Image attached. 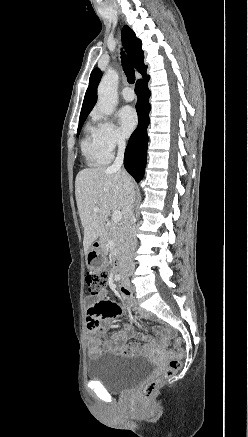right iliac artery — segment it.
<instances>
[{
	"label": "right iliac artery",
	"mask_w": 248,
	"mask_h": 437,
	"mask_svg": "<svg viewBox=\"0 0 248 437\" xmlns=\"http://www.w3.org/2000/svg\"><path fill=\"white\" fill-rule=\"evenodd\" d=\"M120 278H121L120 275H115V280L116 281L120 280Z\"/></svg>",
	"instance_id": "82829eb1"
}]
</instances>
